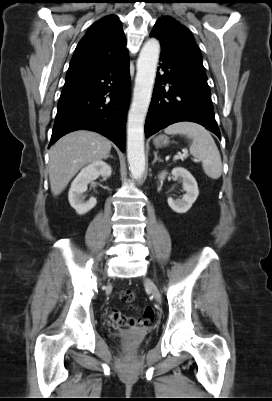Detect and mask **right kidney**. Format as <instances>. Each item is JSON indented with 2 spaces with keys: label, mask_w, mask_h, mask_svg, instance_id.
Segmentation results:
<instances>
[{
  "label": "right kidney",
  "mask_w": 272,
  "mask_h": 401,
  "mask_svg": "<svg viewBox=\"0 0 272 401\" xmlns=\"http://www.w3.org/2000/svg\"><path fill=\"white\" fill-rule=\"evenodd\" d=\"M111 173L110 165L104 161H96L83 168L73 180L68 199L70 205L79 215L89 212L97 204V200L94 197H91L87 202L84 201L83 193L87 191V185L99 176L110 177Z\"/></svg>",
  "instance_id": "ca27d5eb"
}]
</instances>
